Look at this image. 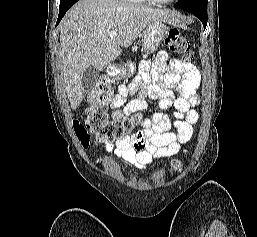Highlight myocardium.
I'll return each instance as SVG.
<instances>
[{"instance_id":"myocardium-1","label":"myocardium","mask_w":257,"mask_h":237,"mask_svg":"<svg viewBox=\"0 0 257 237\" xmlns=\"http://www.w3.org/2000/svg\"><path fill=\"white\" fill-rule=\"evenodd\" d=\"M148 1L155 4H160V5H169L176 2L177 0H148Z\"/></svg>"}]
</instances>
